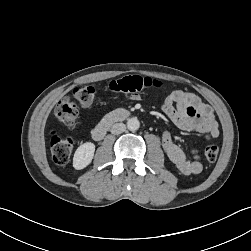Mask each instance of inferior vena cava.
I'll return each instance as SVG.
<instances>
[{
	"instance_id": "1",
	"label": "inferior vena cava",
	"mask_w": 251,
	"mask_h": 251,
	"mask_svg": "<svg viewBox=\"0 0 251 251\" xmlns=\"http://www.w3.org/2000/svg\"><path fill=\"white\" fill-rule=\"evenodd\" d=\"M126 130V125L124 123H116L111 127V133L114 135L121 134Z\"/></svg>"
}]
</instances>
